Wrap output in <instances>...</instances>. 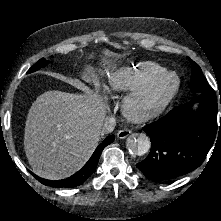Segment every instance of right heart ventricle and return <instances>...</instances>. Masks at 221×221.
Masks as SVG:
<instances>
[{
  "label": "right heart ventricle",
  "instance_id": "obj_1",
  "mask_svg": "<svg viewBox=\"0 0 221 221\" xmlns=\"http://www.w3.org/2000/svg\"><path fill=\"white\" fill-rule=\"evenodd\" d=\"M166 72L164 67L154 62H140L130 67H122L109 74V90L113 92L136 91L146 87Z\"/></svg>",
  "mask_w": 221,
  "mask_h": 221
}]
</instances>
